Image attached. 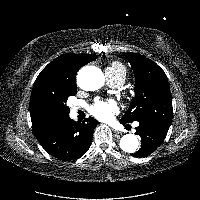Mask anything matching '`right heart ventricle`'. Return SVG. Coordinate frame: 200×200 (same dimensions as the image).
I'll return each mask as SVG.
<instances>
[{
  "label": "right heart ventricle",
  "instance_id": "e07e8e85",
  "mask_svg": "<svg viewBox=\"0 0 200 200\" xmlns=\"http://www.w3.org/2000/svg\"><path fill=\"white\" fill-rule=\"evenodd\" d=\"M106 76L114 80L125 81L127 75L126 66L120 61H112L105 69Z\"/></svg>",
  "mask_w": 200,
  "mask_h": 200
}]
</instances>
